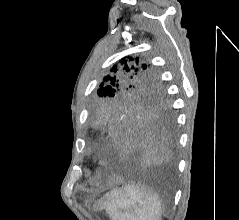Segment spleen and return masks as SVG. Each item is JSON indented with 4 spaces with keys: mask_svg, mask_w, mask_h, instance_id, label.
I'll list each match as a JSON object with an SVG mask.
<instances>
[{
    "mask_svg": "<svg viewBox=\"0 0 239 220\" xmlns=\"http://www.w3.org/2000/svg\"><path fill=\"white\" fill-rule=\"evenodd\" d=\"M111 220H162V205L158 195L140 190L134 185L113 189L99 201Z\"/></svg>",
    "mask_w": 239,
    "mask_h": 220,
    "instance_id": "3e777b00",
    "label": "spleen"
}]
</instances>
